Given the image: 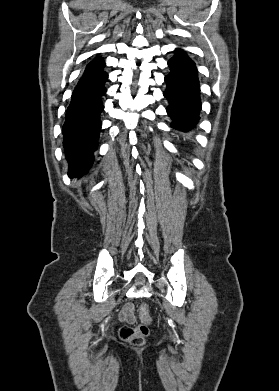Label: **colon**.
<instances>
[{
  "instance_id": "obj_1",
  "label": "colon",
  "mask_w": 279,
  "mask_h": 391,
  "mask_svg": "<svg viewBox=\"0 0 279 391\" xmlns=\"http://www.w3.org/2000/svg\"><path fill=\"white\" fill-rule=\"evenodd\" d=\"M139 315L141 319L140 324L135 327L124 325L119 329L118 335L120 339L133 345L144 344L145 338L149 335V324L151 323V316L147 304L140 305Z\"/></svg>"
}]
</instances>
